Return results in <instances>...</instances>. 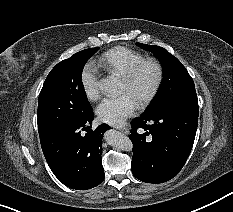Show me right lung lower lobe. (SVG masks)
<instances>
[{"mask_svg": "<svg viewBox=\"0 0 233 212\" xmlns=\"http://www.w3.org/2000/svg\"><path fill=\"white\" fill-rule=\"evenodd\" d=\"M93 119L91 112L81 120L40 138L50 169L59 181L73 189L93 188L105 178L101 147L103 134L110 126L102 124L90 130Z\"/></svg>", "mask_w": 233, "mask_h": 212, "instance_id": "obj_1", "label": "right lung lower lobe"}]
</instances>
